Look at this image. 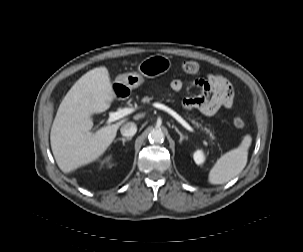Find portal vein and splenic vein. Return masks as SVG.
Segmentation results:
<instances>
[{"mask_svg": "<svg viewBox=\"0 0 303 252\" xmlns=\"http://www.w3.org/2000/svg\"><path fill=\"white\" fill-rule=\"evenodd\" d=\"M153 106L156 107V108H158V109H161V110H163V111H165L167 113H169L183 127H185L190 132H194V129L179 114H177L174 110H172L168 106H166L164 104H161V103H154ZM132 112H134V108H124V109H121V110H119L117 112H110L109 113V118L107 120V124L115 122V121L123 118L124 116H127V115L131 114Z\"/></svg>", "mask_w": 303, "mask_h": 252, "instance_id": "1", "label": "portal vein and splenic vein"}]
</instances>
